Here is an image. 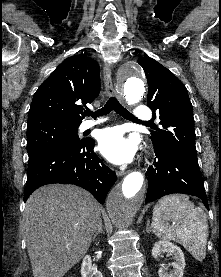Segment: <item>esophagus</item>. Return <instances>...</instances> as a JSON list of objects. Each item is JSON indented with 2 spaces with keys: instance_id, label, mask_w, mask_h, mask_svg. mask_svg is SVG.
<instances>
[{
  "instance_id": "esophagus-1",
  "label": "esophagus",
  "mask_w": 221,
  "mask_h": 277,
  "mask_svg": "<svg viewBox=\"0 0 221 277\" xmlns=\"http://www.w3.org/2000/svg\"><path fill=\"white\" fill-rule=\"evenodd\" d=\"M103 73H104V82H105V88H106V92L108 95L112 96V95H117V97L119 99H121V95L115 91L114 87H113V82H112V65L108 62H106L104 64L103 67ZM117 176H123L126 174L125 171H117L116 172Z\"/></svg>"
}]
</instances>
